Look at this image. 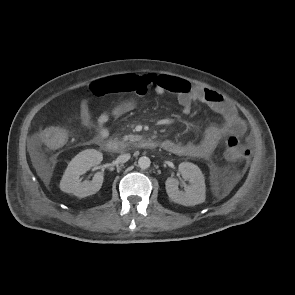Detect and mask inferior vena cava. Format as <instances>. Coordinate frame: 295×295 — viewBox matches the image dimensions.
Returning <instances> with one entry per match:
<instances>
[{"label": "inferior vena cava", "instance_id": "602c4592", "mask_svg": "<svg viewBox=\"0 0 295 295\" xmlns=\"http://www.w3.org/2000/svg\"><path fill=\"white\" fill-rule=\"evenodd\" d=\"M130 154H121L117 157L116 162L117 163H125L130 159Z\"/></svg>", "mask_w": 295, "mask_h": 295}]
</instances>
